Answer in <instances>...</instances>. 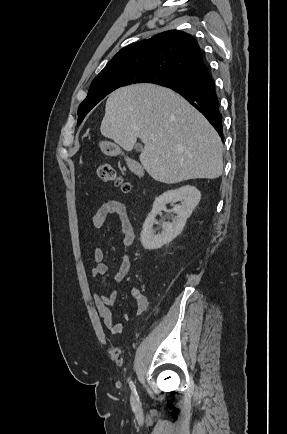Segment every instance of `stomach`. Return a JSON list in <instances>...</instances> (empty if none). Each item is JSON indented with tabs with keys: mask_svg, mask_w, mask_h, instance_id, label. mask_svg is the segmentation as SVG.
I'll list each match as a JSON object with an SVG mask.
<instances>
[{
	"mask_svg": "<svg viewBox=\"0 0 287 434\" xmlns=\"http://www.w3.org/2000/svg\"><path fill=\"white\" fill-rule=\"evenodd\" d=\"M100 146H101L102 151L107 155L116 156V155H119L121 153L120 148L113 143L102 142L100 144Z\"/></svg>",
	"mask_w": 287,
	"mask_h": 434,
	"instance_id": "0dacf381",
	"label": "stomach"
}]
</instances>
